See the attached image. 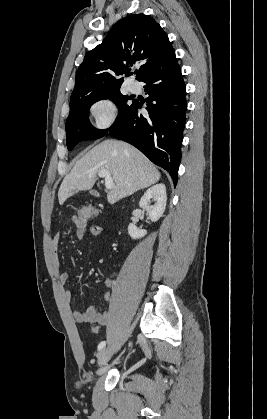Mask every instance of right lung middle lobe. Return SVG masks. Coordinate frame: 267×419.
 <instances>
[{"label": "right lung middle lobe", "instance_id": "right-lung-middle-lobe-1", "mask_svg": "<svg viewBox=\"0 0 267 419\" xmlns=\"http://www.w3.org/2000/svg\"><path fill=\"white\" fill-rule=\"evenodd\" d=\"M103 99L112 100L118 107L119 114L114 124L127 114L134 103V100L132 103L130 102L132 100L131 97L122 95L120 90L88 95L70 102V113L66 122V143L68 150H72L80 141L97 139L107 133L108 129L98 130L88 121L91 105Z\"/></svg>", "mask_w": 267, "mask_h": 419}]
</instances>
